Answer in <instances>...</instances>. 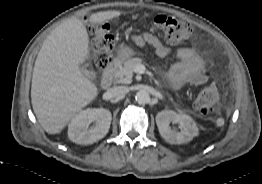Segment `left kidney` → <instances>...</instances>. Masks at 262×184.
<instances>
[{"instance_id":"5707ae66","label":"left kidney","mask_w":262,"mask_h":184,"mask_svg":"<svg viewBox=\"0 0 262 184\" xmlns=\"http://www.w3.org/2000/svg\"><path fill=\"white\" fill-rule=\"evenodd\" d=\"M170 122L179 124L182 130L176 131L169 127ZM156 124L160 135L170 144H182L191 141L198 135L199 129L194 120L185 113L164 110L156 115Z\"/></svg>"}]
</instances>
